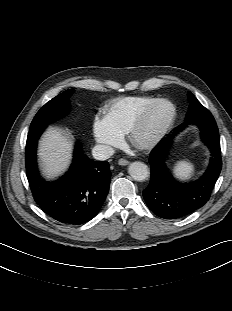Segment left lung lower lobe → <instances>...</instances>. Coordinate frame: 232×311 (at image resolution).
Listing matches in <instances>:
<instances>
[{
  "mask_svg": "<svg viewBox=\"0 0 232 311\" xmlns=\"http://www.w3.org/2000/svg\"><path fill=\"white\" fill-rule=\"evenodd\" d=\"M190 124L199 127L201 138L210 149L212 157L204 175L187 184L179 183L171 176L165 165V157L174 135ZM149 163L151 178L143 196L149 209L157 216L176 219L202 207L209 200L222 168L219 132L212 114L185 119L184 123L151 151Z\"/></svg>",
  "mask_w": 232,
  "mask_h": 311,
  "instance_id": "left-lung-lower-lobe-1",
  "label": "left lung lower lobe"
}]
</instances>
